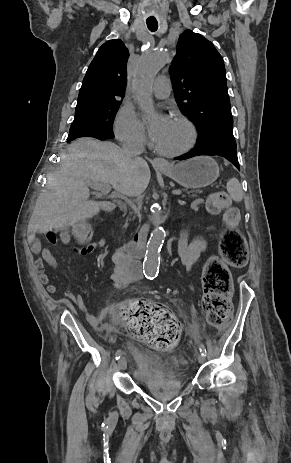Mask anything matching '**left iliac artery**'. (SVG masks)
<instances>
[{"label": "left iliac artery", "mask_w": 291, "mask_h": 463, "mask_svg": "<svg viewBox=\"0 0 291 463\" xmlns=\"http://www.w3.org/2000/svg\"><path fill=\"white\" fill-rule=\"evenodd\" d=\"M199 349H200L201 354L206 356V348H205V346L203 344L200 345Z\"/></svg>", "instance_id": "1"}]
</instances>
